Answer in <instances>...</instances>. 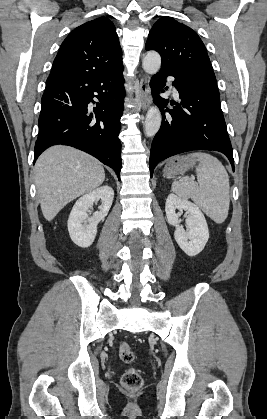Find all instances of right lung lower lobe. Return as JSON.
<instances>
[{
    "label": "right lung lower lobe",
    "mask_w": 267,
    "mask_h": 419,
    "mask_svg": "<svg viewBox=\"0 0 267 419\" xmlns=\"http://www.w3.org/2000/svg\"><path fill=\"white\" fill-rule=\"evenodd\" d=\"M122 72L123 65L105 72L48 77L34 160L52 145H69L113 168L120 179L118 135L125 97ZM90 103L97 106L92 108Z\"/></svg>",
    "instance_id": "right-lung-lower-lobe-1"
}]
</instances>
